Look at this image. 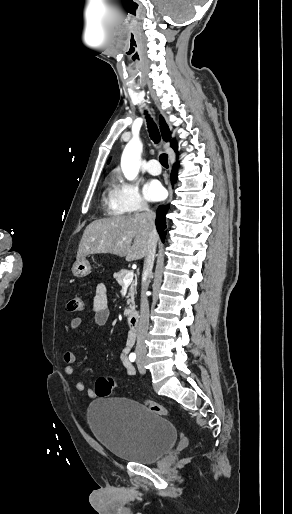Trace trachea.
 <instances>
[{
	"label": "trachea",
	"instance_id": "3493384b",
	"mask_svg": "<svg viewBox=\"0 0 292 514\" xmlns=\"http://www.w3.org/2000/svg\"><path fill=\"white\" fill-rule=\"evenodd\" d=\"M146 119H147V127H148L149 136L151 137V139L154 141L155 144H158L160 142V133H159L158 127L154 123L153 119L150 118L149 115H146ZM159 162L161 163V165L163 167L168 169V155L167 154H164V153L161 154L159 156Z\"/></svg>",
	"mask_w": 292,
	"mask_h": 514
}]
</instances>
